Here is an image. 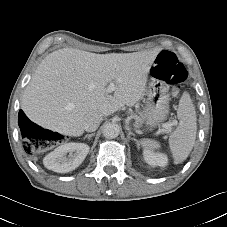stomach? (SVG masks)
Segmentation results:
<instances>
[{
	"instance_id": "0dacf381",
	"label": "stomach",
	"mask_w": 227,
	"mask_h": 227,
	"mask_svg": "<svg viewBox=\"0 0 227 227\" xmlns=\"http://www.w3.org/2000/svg\"><path fill=\"white\" fill-rule=\"evenodd\" d=\"M146 96L143 122L147 129H151L167 118L170 98L165 84L156 78H151Z\"/></svg>"
}]
</instances>
